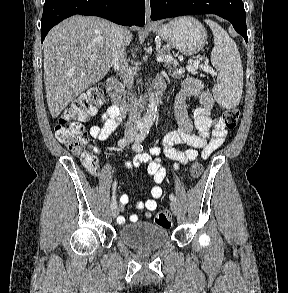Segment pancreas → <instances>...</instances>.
Segmentation results:
<instances>
[{
    "mask_svg": "<svg viewBox=\"0 0 288 293\" xmlns=\"http://www.w3.org/2000/svg\"><path fill=\"white\" fill-rule=\"evenodd\" d=\"M166 52H167V55H170V53L168 51V47L165 46V47H163L162 49L159 50L158 54L159 55H166ZM194 63L195 62L190 61L189 65H192ZM164 67L169 71V73L173 77L181 78L183 76L184 69L181 68L180 70H178V63H177V61L175 59H173L171 61H168V62H165Z\"/></svg>",
    "mask_w": 288,
    "mask_h": 293,
    "instance_id": "cf45deb5",
    "label": "pancreas"
}]
</instances>
